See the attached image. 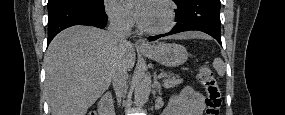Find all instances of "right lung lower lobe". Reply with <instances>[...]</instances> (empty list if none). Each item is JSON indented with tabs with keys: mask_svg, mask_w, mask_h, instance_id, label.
I'll return each instance as SVG.
<instances>
[{
	"mask_svg": "<svg viewBox=\"0 0 285 115\" xmlns=\"http://www.w3.org/2000/svg\"><path fill=\"white\" fill-rule=\"evenodd\" d=\"M107 16L103 9L70 5L58 8L48 13V41L47 44L62 30L73 25H89L104 28Z\"/></svg>",
	"mask_w": 285,
	"mask_h": 115,
	"instance_id": "obj_1",
	"label": "right lung lower lobe"
}]
</instances>
